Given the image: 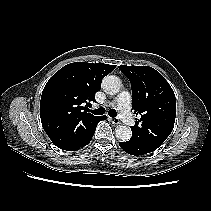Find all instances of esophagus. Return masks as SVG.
Segmentation results:
<instances>
[{
	"label": "esophagus",
	"mask_w": 211,
	"mask_h": 211,
	"mask_svg": "<svg viewBox=\"0 0 211 211\" xmlns=\"http://www.w3.org/2000/svg\"><path fill=\"white\" fill-rule=\"evenodd\" d=\"M111 121L114 125H119L121 123L119 118H111Z\"/></svg>",
	"instance_id": "1"
}]
</instances>
